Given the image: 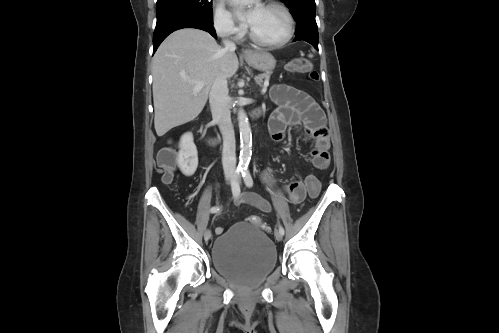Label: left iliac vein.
Returning a JSON list of instances; mask_svg holds the SVG:
<instances>
[{"mask_svg":"<svg viewBox=\"0 0 499 333\" xmlns=\"http://www.w3.org/2000/svg\"><path fill=\"white\" fill-rule=\"evenodd\" d=\"M238 180H240V177H238ZM275 238L277 241H281L283 238V235L280 233V231L275 232Z\"/></svg>","mask_w":499,"mask_h":333,"instance_id":"obj_1","label":"left iliac vein"}]
</instances>
